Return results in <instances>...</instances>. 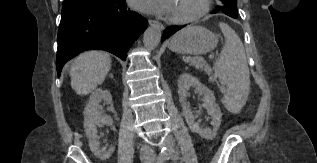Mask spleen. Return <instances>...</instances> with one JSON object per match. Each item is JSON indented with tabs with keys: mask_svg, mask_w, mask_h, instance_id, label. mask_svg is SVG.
Instances as JSON below:
<instances>
[{
	"mask_svg": "<svg viewBox=\"0 0 317 163\" xmlns=\"http://www.w3.org/2000/svg\"><path fill=\"white\" fill-rule=\"evenodd\" d=\"M219 27L225 37V44L214 70L219 81L226 87L222 98L225 108L231 113H238L246 103L250 88L249 68L245 49L239 36L227 24Z\"/></svg>",
	"mask_w": 317,
	"mask_h": 163,
	"instance_id": "1",
	"label": "spleen"
}]
</instances>
